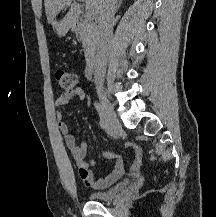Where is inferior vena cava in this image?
<instances>
[{
	"label": "inferior vena cava",
	"instance_id": "1",
	"mask_svg": "<svg viewBox=\"0 0 216 217\" xmlns=\"http://www.w3.org/2000/svg\"><path fill=\"white\" fill-rule=\"evenodd\" d=\"M118 0H103L98 22V45L94 72V82L103 86L106 73L107 59L113 36L114 16Z\"/></svg>",
	"mask_w": 216,
	"mask_h": 217
}]
</instances>
